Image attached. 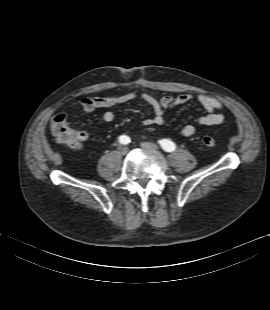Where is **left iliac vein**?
I'll list each match as a JSON object with an SVG mask.
<instances>
[{
	"label": "left iliac vein",
	"mask_w": 270,
	"mask_h": 310,
	"mask_svg": "<svg viewBox=\"0 0 270 310\" xmlns=\"http://www.w3.org/2000/svg\"><path fill=\"white\" fill-rule=\"evenodd\" d=\"M142 148L149 149V150H157L158 146L151 142H142L141 143Z\"/></svg>",
	"instance_id": "left-iliac-vein-1"
}]
</instances>
